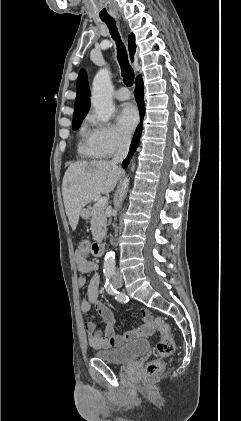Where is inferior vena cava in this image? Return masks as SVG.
<instances>
[{
    "label": "inferior vena cava",
    "mask_w": 241,
    "mask_h": 421,
    "mask_svg": "<svg viewBox=\"0 0 241 421\" xmlns=\"http://www.w3.org/2000/svg\"><path fill=\"white\" fill-rule=\"evenodd\" d=\"M131 137L128 135L120 136L118 140V149L111 160V164L116 166L118 163H121L127 156L129 147H130ZM110 243L114 244V239L111 237ZM118 274V273H117Z\"/></svg>",
    "instance_id": "1"
}]
</instances>
